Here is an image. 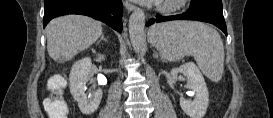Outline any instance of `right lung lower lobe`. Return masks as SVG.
I'll list each match as a JSON object with an SVG mask.
<instances>
[{
	"label": "right lung lower lobe",
	"mask_w": 273,
	"mask_h": 118,
	"mask_svg": "<svg viewBox=\"0 0 273 118\" xmlns=\"http://www.w3.org/2000/svg\"><path fill=\"white\" fill-rule=\"evenodd\" d=\"M67 14L90 16L122 31V2L118 0H45L43 27L51 19Z\"/></svg>",
	"instance_id": "obj_1"
}]
</instances>
